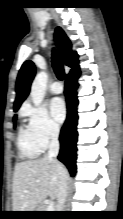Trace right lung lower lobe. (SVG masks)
<instances>
[{
	"instance_id": "98d812e1",
	"label": "right lung lower lobe",
	"mask_w": 123,
	"mask_h": 219,
	"mask_svg": "<svg viewBox=\"0 0 123 219\" xmlns=\"http://www.w3.org/2000/svg\"><path fill=\"white\" fill-rule=\"evenodd\" d=\"M80 75L79 67L72 70L65 82V95L67 99V119L60 132V153L58 159L64 163L71 176L76 173V143H77V79Z\"/></svg>"
}]
</instances>
